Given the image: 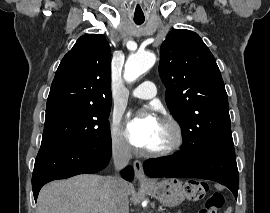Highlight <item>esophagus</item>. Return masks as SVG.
I'll return each mask as SVG.
<instances>
[{
  "label": "esophagus",
  "mask_w": 270,
  "mask_h": 213,
  "mask_svg": "<svg viewBox=\"0 0 270 213\" xmlns=\"http://www.w3.org/2000/svg\"><path fill=\"white\" fill-rule=\"evenodd\" d=\"M135 178L142 183H149V179L146 178L143 170V164L140 160L133 162Z\"/></svg>",
  "instance_id": "1"
}]
</instances>
